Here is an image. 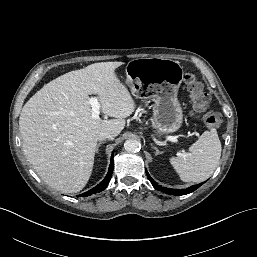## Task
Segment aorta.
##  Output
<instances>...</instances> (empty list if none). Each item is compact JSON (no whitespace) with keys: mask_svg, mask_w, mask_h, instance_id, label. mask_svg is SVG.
I'll list each match as a JSON object with an SVG mask.
<instances>
[{"mask_svg":"<svg viewBox=\"0 0 257 257\" xmlns=\"http://www.w3.org/2000/svg\"><path fill=\"white\" fill-rule=\"evenodd\" d=\"M140 142L138 140L129 139L124 143V148L128 152H137L140 150Z\"/></svg>","mask_w":257,"mask_h":257,"instance_id":"1","label":"aorta"}]
</instances>
